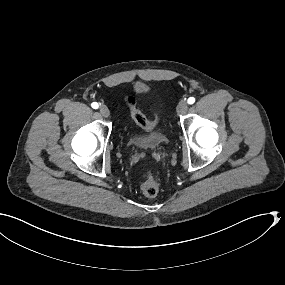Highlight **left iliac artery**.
Masks as SVG:
<instances>
[{"label":"left iliac artery","instance_id":"44dca946","mask_svg":"<svg viewBox=\"0 0 285 285\" xmlns=\"http://www.w3.org/2000/svg\"><path fill=\"white\" fill-rule=\"evenodd\" d=\"M188 104H193L195 102V98L194 97H190L188 98Z\"/></svg>","mask_w":285,"mask_h":285}]
</instances>
